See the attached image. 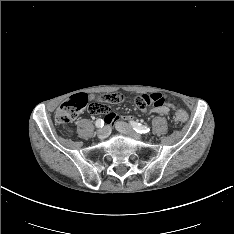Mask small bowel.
<instances>
[{
    "label": "small bowel",
    "mask_w": 234,
    "mask_h": 234,
    "mask_svg": "<svg viewBox=\"0 0 234 234\" xmlns=\"http://www.w3.org/2000/svg\"><path fill=\"white\" fill-rule=\"evenodd\" d=\"M121 100L122 95L117 93L107 94L105 96L92 94L87 99V110L92 115L100 114V116L104 117V124L111 127L115 124L119 116L114 113L113 107L109 104L119 103ZM131 102L138 110L147 111L146 109H152L151 113L158 115H169L174 109L172 104L166 103L167 97L162 92L136 94L132 97Z\"/></svg>",
    "instance_id": "1"
}]
</instances>
